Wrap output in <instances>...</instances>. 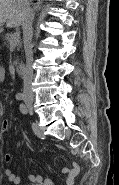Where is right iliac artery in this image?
Returning <instances> with one entry per match:
<instances>
[{
    "mask_svg": "<svg viewBox=\"0 0 119 185\" xmlns=\"http://www.w3.org/2000/svg\"><path fill=\"white\" fill-rule=\"evenodd\" d=\"M16 99L17 100H22L23 99V95L21 93L16 94Z\"/></svg>",
    "mask_w": 119,
    "mask_h": 185,
    "instance_id": "82829eb1",
    "label": "right iliac artery"
}]
</instances>
